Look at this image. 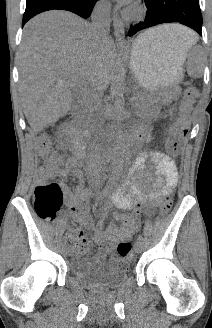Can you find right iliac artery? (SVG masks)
I'll list each match as a JSON object with an SVG mask.
<instances>
[{
	"label": "right iliac artery",
	"mask_w": 212,
	"mask_h": 328,
	"mask_svg": "<svg viewBox=\"0 0 212 328\" xmlns=\"http://www.w3.org/2000/svg\"><path fill=\"white\" fill-rule=\"evenodd\" d=\"M65 243H66V239L63 238V239H62V244L64 245Z\"/></svg>",
	"instance_id": "82829eb1"
}]
</instances>
